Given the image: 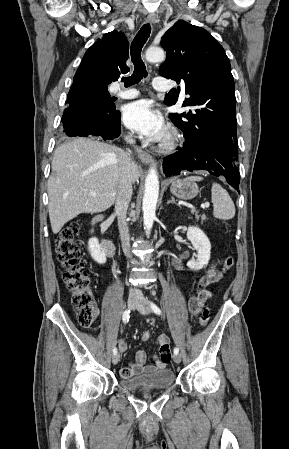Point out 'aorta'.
<instances>
[{"instance_id": "762f6f07", "label": "aorta", "mask_w": 289, "mask_h": 449, "mask_svg": "<svg viewBox=\"0 0 289 449\" xmlns=\"http://www.w3.org/2000/svg\"><path fill=\"white\" fill-rule=\"evenodd\" d=\"M145 57L151 63L162 62L165 59V53L161 48L150 47L147 49ZM158 196L159 179L155 166H152L145 179V191L142 204L144 229L147 234H150L153 226Z\"/></svg>"}]
</instances>
